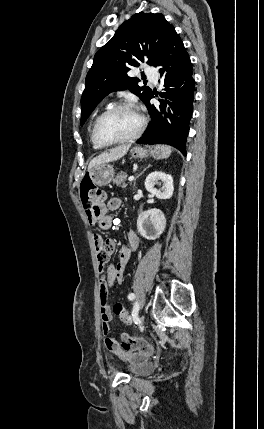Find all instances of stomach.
I'll return each mask as SVG.
<instances>
[{
	"label": "stomach",
	"instance_id": "1",
	"mask_svg": "<svg viewBox=\"0 0 264 429\" xmlns=\"http://www.w3.org/2000/svg\"><path fill=\"white\" fill-rule=\"evenodd\" d=\"M131 156L136 159H144L149 156L155 159L167 158L171 149L166 145H156L148 148L135 146L130 151ZM115 174L113 166L104 163L97 165L88 172V176L94 184L106 185L111 182Z\"/></svg>",
	"mask_w": 264,
	"mask_h": 429
}]
</instances>
